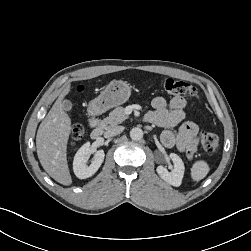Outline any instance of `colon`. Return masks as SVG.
Instances as JSON below:
<instances>
[{
    "instance_id": "colon-1",
    "label": "colon",
    "mask_w": 251,
    "mask_h": 251,
    "mask_svg": "<svg viewBox=\"0 0 251 251\" xmlns=\"http://www.w3.org/2000/svg\"><path fill=\"white\" fill-rule=\"evenodd\" d=\"M159 87L161 90L172 96H186L191 100L198 99L197 89L188 82L173 79L164 78L159 81ZM84 129L82 125L75 124L72 127L70 134V143L75 145L83 137ZM200 143L204 151L210 155L214 154L219 147L218 137L209 132L202 131L200 134Z\"/></svg>"
}]
</instances>
